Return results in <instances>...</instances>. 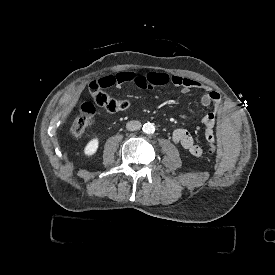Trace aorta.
<instances>
[{
  "instance_id": "762f6f07",
  "label": "aorta",
  "mask_w": 275,
  "mask_h": 275,
  "mask_svg": "<svg viewBox=\"0 0 275 275\" xmlns=\"http://www.w3.org/2000/svg\"><path fill=\"white\" fill-rule=\"evenodd\" d=\"M155 131L153 123L147 122L143 125V132L146 134H152Z\"/></svg>"
}]
</instances>
